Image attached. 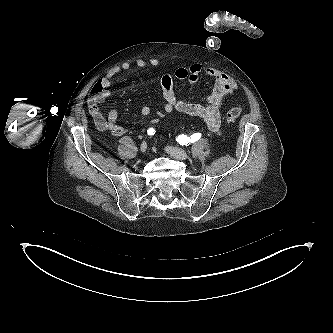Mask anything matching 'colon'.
<instances>
[{
    "label": "colon",
    "instance_id": "1",
    "mask_svg": "<svg viewBox=\"0 0 333 333\" xmlns=\"http://www.w3.org/2000/svg\"><path fill=\"white\" fill-rule=\"evenodd\" d=\"M92 95L89 101L90 110H95L98 108L96 98L101 94L102 87L97 83L92 89ZM242 114V109L240 107H232L226 113V119L230 122L235 121Z\"/></svg>",
    "mask_w": 333,
    "mask_h": 333
}]
</instances>
